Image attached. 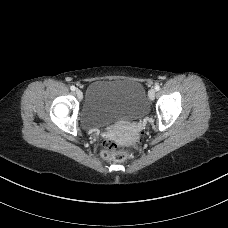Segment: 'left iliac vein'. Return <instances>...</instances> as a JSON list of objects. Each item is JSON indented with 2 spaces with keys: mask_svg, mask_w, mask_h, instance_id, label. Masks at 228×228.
Returning a JSON list of instances; mask_svg holds the SVG:
<instances>
[{
  "mask_svg": "<svg viewBox=\"0 0 228 228\" xmlns=\"http://www.w3.org/2000/svg\"><path fill=\"white\" fill-rule=\"evenodd\" d=\"M156 95V91L154 89H150L148 92V97L150 100H154Z\"/></svg>",
  "mask_w": 228,
  "mask_h": 228,
  "instance_id": "1",
  "label": "left iliac vein"
}]
</instances>
